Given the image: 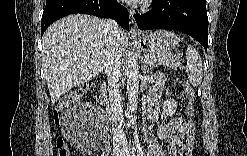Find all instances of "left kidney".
<instances>
[{"label": "left kidney", "mask_w": 247, "mask_h": 156, "mask_svg": "<svg viewBox=\"0 0 247 156\" xmlns=\"http://www.w3.org/2000/svg\"><path fill=\"white\" fill-rule=\"evenodd\" d=\"M162 108L168 116H173L176 113L177 102L173 99H167L162 103Z\"/></svg>", "instance_id": "left-kidney-1"}]
</instances>
